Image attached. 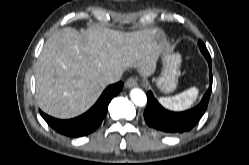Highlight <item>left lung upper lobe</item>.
<instances>
[{"label": "left lung upper lobe", "instance_id": "5c2ea615", "mask_svg": "<svg viewBox=\"0 0 249 165\" xmlns=\"http://www.w3.org/2000/svg\"><path fill=\"white\" fill-rule=\"evenodd\" d=\"M198 45H199V48H200L202 54H203V55L205 56V58L207 59V61H211L210 54H209V52H208L206 46L204 45V43H203L201 40H199Z\"/></svg>", "mask_w": 249, "mask_h": 165}]
</instances>
